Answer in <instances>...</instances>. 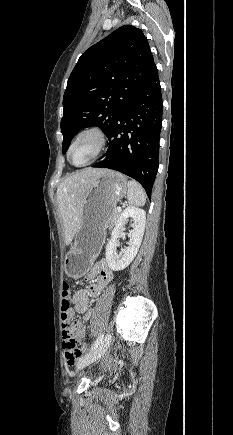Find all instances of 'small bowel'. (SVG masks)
Returning <instances> with one entry per match:
<instances>
[{"label":"small bowel","mask_w":233,"mask_h":435,"mask_svg":"<svg viewBox=\"0 0 233 435\" xmlns=\"http://www.w3.org/2000/svg\"><path fill=\"white\" fill-rule=\"evenodd\" d=\"M85 278L90 280L91 283L85 287L76 290L72 296L71 301L74 306V312L83 314L85 319H89L92 314V308L90 306L91 298H98L102 290L112 281L113 274L109 269L107 262L104 258L99 259L90 271L85 275ZM62 327L63 330L69 327H76L78 334L81 338H85L87 328L82 321L74 320L71 317L63 316ZM85 345L82 346V350H85Z\"/></svg>","instance_id":"small-bowel-1"}]
</instances>
